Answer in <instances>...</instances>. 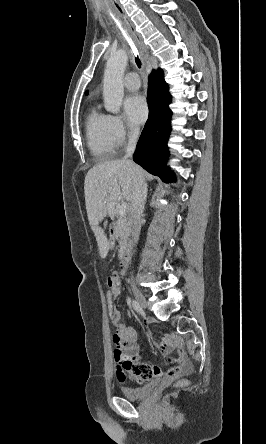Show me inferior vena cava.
<instances>
[{
  "mask_svg": "<svg viewBox=\"0 0 266 444\" xmlns=\"http://www.w3.org/2000/svg\"><path fill=\"white\" fill-rule=\"evenodd\" d=\"M139 136V128H131L129 132V141L128 146L126 148V155L124 160H127L129 157H132L137 140ZM147 197V184L143 177L138 176L135 181L132 200H131V208H130V217L129 224L130 230L132 234V245H135L139 240L140 230H141V220L143 216L144 206L146 203Z\"/></svg>",
  "mask_w": 266,
  "mask_h": 444,
  "instance_id": "1",
  "label": "inferior vena cava"
}]
</instances>
